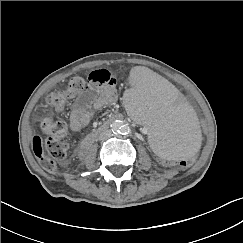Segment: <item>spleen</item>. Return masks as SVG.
Instances as JSON below:
<instances>
[{
	"label": "spleen",
	"mask_w": 243,
	"mask_h": 243,
	"mask_svg": "<svg viewBox=\"0 0 243 243\" xmlns=\"http://www.w3.org/2000/svg\"><path fill=\"white\" fill-rule=\"evenodd\" d=\"M123 103L131 119L147 124L146 143L155 156L187 160L198 151L200 135L191 103L166 76L153 73L136 79Z\"/></svg>",
	"instance_id": "obj_1"
}]
</instances>
